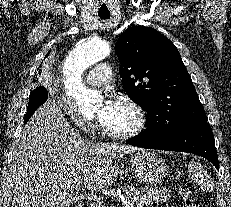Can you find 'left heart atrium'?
<instances>
[{"label":"left heart atrium","mask_w":231,"mask_h":207,"mask_svg":"<svg viewBox=\"0 0 231 207\" xmlns=\"http://www.w3.org/2000/svg\"><path fill=\"white\" fill-rule=\"evenodd\" d=\"M117 103L118 102H116L113 99H107L103 103L99 111V120L101 121V123H104L105 121H107V119L111 116V114L115 110Z\"/></svg>","instance_id":"left-heart-atrium-1"}]
</instances>
